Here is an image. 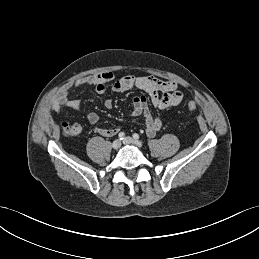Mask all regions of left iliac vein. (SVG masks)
Listing matches in <instances>:
<instances>
[{
  "label": "left iliac vein",
  "mask_w": 259,
  "mask_h": 259,
  "mask_svg": "<svg viewBox=\"0 0 259 259\" xmlns=\"http://www.w3.org/2000/svg\"><path fill=\"white\" fill-rule=\"evenodd\" d=\"M123 143L126 145H135L137 147H142V143L138 140H135L131 137H125Z\"/></svg>",
  "instance_id": "4c4485c4"
}]
</instances>
